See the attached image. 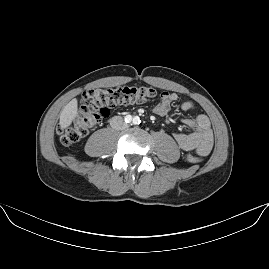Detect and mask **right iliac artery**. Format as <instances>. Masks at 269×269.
Segmentation results:
<instances>
[{
    "label": "right iliac artery",
    "mask_w": 269,
    "mask_h": 269,
    "mask_svg": "<svg viewBox=\"0 0 269 269\" xmlns=\"http://www.w3.org/2000/svg\"><path fill=\"white\" fill-rule=\"evenodd\" d=\"M132 121V116L131 115H127L126 117H125V122L126 123H130Z\"/></svg>",
    "instance_id": "obj_1"
}]
</instances>
